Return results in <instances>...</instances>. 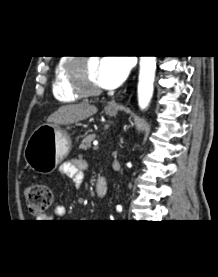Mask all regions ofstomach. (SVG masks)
<instances>
[{"label":"stomach","mask_w":218,"mask_h":277,"mask_svg":"<svg viewBox=\"0 0 218 277\" xmlns=\"http://www.w3.org/2000/svg\"><path fill=\"white\" fill-rule=\"evenodd\" d=\"M105 113L116 116L117 110L106 107ZM70 135L59 124L47 123L36 128L24 148V159L35 172L48 174L68 155Z\"/></svg>","instance_id":"1"}]
</instances>
